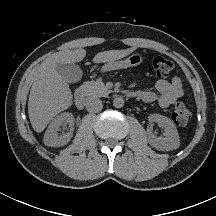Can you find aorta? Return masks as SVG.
<instances>
[{"label": "aorta", "mask_w": 216, "mask_h": 216, "mask_svg": "<svg viewBox=\"0 0 216 216\" xmlns=\"http://www.w3.org/2000/svg\"><path fill=\"white\" fill-rule=\"evenodd\" d=\"M124 105V100L121 97H117L113 100V106L115 108H122Z\"/></svg>", "instance_id": "obj_1"}]
</instances>
